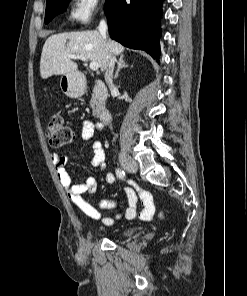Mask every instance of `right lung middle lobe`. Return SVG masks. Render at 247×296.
<instances>
[{
    "instance_id": "right-lung-middle-lobe-1",
    "label": "right lung middle lobe",
    "mask_w": 247,
    "mask_h": 296,
    "mask_svg": "<svg viewBox=\"0 0 247 296\" xmlns=\"http://www.w3.org/2000/svg\"><path fill=\"white\" fill-rule=\"evenodd\" d=\"M111 0H107L105 7ZM69 0H47L46 12H45V23H49L56 15L65 11Z\"/></svg>"
}]
</instances>
